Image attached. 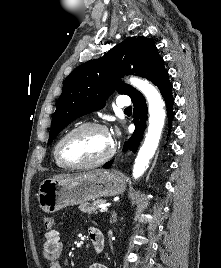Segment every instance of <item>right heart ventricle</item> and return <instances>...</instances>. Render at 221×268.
Returning a JSON list of instances; mask_svg holds the SVG:
<instances>
[{"mask_svg": "<svg viewBox=\"0 0 221 268\" xmlns=\"http://www.w3.org/2000/svg\"><path fill=\"white\" fill-rule=\"evenodd\" d=\"M54 158H55V155H54ZM55 162H56V164H57L59 167H63V166L56 160V158H55Z\"/></svg>", "mask_w": 221, "mask_h": 268, "instance_id": "obj_1", "label": "right heart ventricle"}]
</instances>
